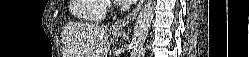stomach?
Returning <instances> with one entry per match:
<instances>
[{"label": "stomach", "instance_id": "0dacf381", "mask_svg": "<svg viewBox=\"0 0 249 57\" xmlns=\"http://www.w3.org/2000/svg\"><path fill=\"white\" fill-rule=\"evenodd\" d=\"M112 34H113L114 36H119V35H120V33H118V32H112Z\"/></svg>", "mask_w": 249, "mask_h": 57}]
</instances>
